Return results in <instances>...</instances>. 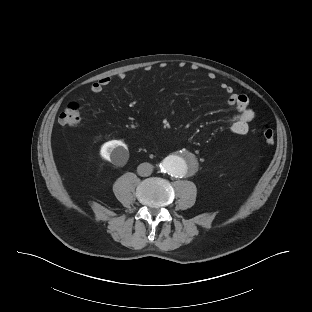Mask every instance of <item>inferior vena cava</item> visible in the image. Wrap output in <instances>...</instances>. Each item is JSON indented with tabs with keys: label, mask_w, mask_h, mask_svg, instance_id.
<instances>
[{
	"label": "inferior vena cava",
	"mask_w": 312,
	"mask_h": 312,
	"mask_svg": "<svg viewBox=\"0 0 312 312\" xmlns=\"http://www.w3.org/2000/svg\"><path fill=\"white\" fill-rule=\"evenodd\" d=\"M137 172L142 177H147L153 172V165L150 163H142L138 166Z\"/></svg>",
	"instance_id": "obj_1"
}]
</instances>
